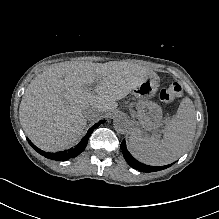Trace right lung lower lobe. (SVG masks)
<instances>
[{
	"label": "right lung lower lobe",
	"mask_w": 219,
	"mask_h": 219,
	"mask_svg": "<svg viewBox=\"0 0 219 219\" xmlns=\"http://www.w3.org/2000/svg\"><path fill=\"white\" fill-rule=\"evenodd\" d=\"M105 120L99 121V123L95 124L93 127H91L88 130V133L86 136H84L81 140V142L75 147L71 148L69 150L57 152V153H46L40 149H38L30 140H28L29 144L41 155H43L46 158L53 159V160H68L70 158H74L77 155H79L86 147L88 138L90 137L91 133L93 132V129L98 127L100 124L104 123Z\"/></svg>",
	"instance_id": "1"
}]
</instances>
